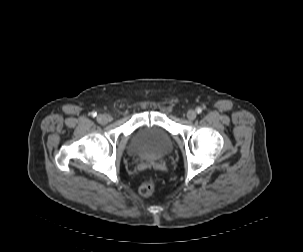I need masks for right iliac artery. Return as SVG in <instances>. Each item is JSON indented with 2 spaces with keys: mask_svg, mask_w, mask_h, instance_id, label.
Returning <instances> with one entry per match:
<instances>
[{
  "mask_svg": "<svg viewBox=\"0 0 303 252\" xmlns=\"http://www.w3.org/2000/svg\"><path fill=\"white\" fill-rule=\"evenodd\" d=\"M91 115H92L93 117H96V116H97V112H94V111H93V112L91 113Z\"/></svg>",
  "mask_w": 303,
  "mask_h": 252,
  "instance_id": "right-iliac-artery-1",
  "label": "right iliac artery"
}]
</instances>
